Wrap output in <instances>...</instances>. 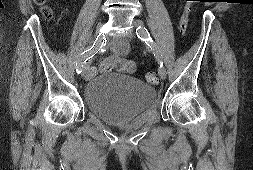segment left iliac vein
I'll use <instances>...</instances> for the list:
<instances>
[{
    "label": "left iliac vein",
    "instance_id": "left-iliac-vein-1",
    "mask_svg": "<svg viewBox=\"0 0 253 170\" xmlns=\"http://www.w3.org/2000/svg\"><path fill=\"white\" fill-rule=\"evenodd\" d=\"M134 24L138 27L139 26H142V27L144 26V23L141 20H138V19L134 20ZM158 72H159L160 78L164 80L166 78V75H167L165 68L163 66L162 67L160 66L159 69H158Z\"/></svg>",
    "mask_w": 253,
    "mask_h": 170
}]
</instances>
